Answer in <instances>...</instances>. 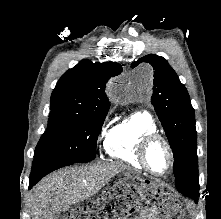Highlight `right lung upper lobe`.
Masks as SVG:
<instances>
[{"mask_svg": "<svg viewBox=\"0 0 221 219\" xmlns=\"http://www.w3.org/2000/svg\"><path fill=\"white\" fill-rule=\"evenodd\" d=\"M121 70L122 67L115 62L82 60L57 82L51 95L50 108L88 114L109 110L105 84Z\"/></svg>", "mask_w": 221, "mask_h": 219, "instance_id": "1", "label": "right lung upper lobe"}]
</instances>
